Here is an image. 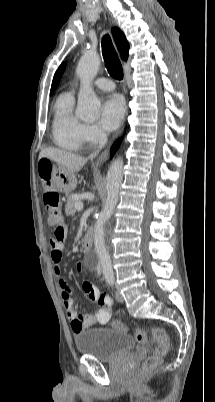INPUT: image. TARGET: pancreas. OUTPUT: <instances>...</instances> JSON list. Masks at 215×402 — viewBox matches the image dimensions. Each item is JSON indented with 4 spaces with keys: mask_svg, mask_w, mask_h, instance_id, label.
<instances>
[{
    "mask_svg": "<svg viewBox=\"0 0 215 402\" xmlns=\"http://www.w3.org/2000/svg\"><path fill=\"white\" fill-rule=\"evenodd\" d=\"M76 202H77V199H76L75 195L70 194L68 196L67 203H66V206H65L66 215H74L75 214V212H76L75 203Z\"/></svg>",
    "mask_w": 215,
    "mask_h": 402,
    "instance_id": "cf45deb5",
    "label": "pancreas"
}]
</instances>
